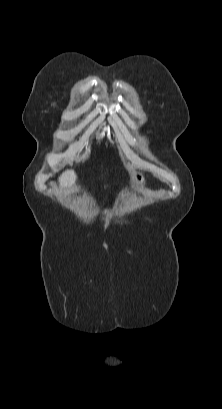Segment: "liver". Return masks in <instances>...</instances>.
Here are the masks:
<instances>
[{
    "label": "liver",
    "instance_id": "6515ba94",
    "mask_svg": "<svg viewBox=\"0 0 222 409\" xmlns=\"http://www.w3.org/2000/svg\"><path fill=\"white\" fill-rule=\"evenodd\" d=\"M76 174L74 170H66L59 177V183L61 187L72 189L75 185Z\"/></svg>",
    "mask_w": 222,
    "mask_h": 409
}]
</instances>
